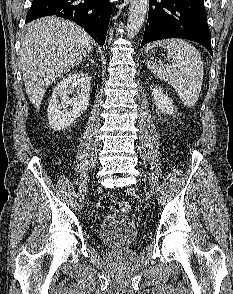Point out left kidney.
Listing matches in <instances>:
<instances>
[{
  "label": "left kidney",
  "instance_id": "5707ae66",
  "mask_svg": "<svg viewBox=\"0 0 233 294\" xmlns=\"http://www.w3.org/2000/svg\"><path fill=\"white\" fill-rule=\"evenodd\" d=\"M152 95L156 107L162 112L171 115L174 112V106L172 100L166 95L162 89L154 88Z\"/></svg>",
  "mask_w": 233,
  "mask_h": 294
}]
</instances>
